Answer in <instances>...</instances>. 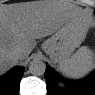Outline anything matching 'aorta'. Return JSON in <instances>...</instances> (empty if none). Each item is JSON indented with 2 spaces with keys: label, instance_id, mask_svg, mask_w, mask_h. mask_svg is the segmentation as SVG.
<instances>
[{
  "label": "aorta",
  "instance_id": "obj_1",
  "mask_svg": "<svg viewBox=\"0 0 95 95\" xmlns=\"http://www.w3.org/2000/svg\"><path fill=\"white\" fill-rule=\"evenodd\" d=\"M46 65L43 61L39 59H34L29 64V72L32 75L40 76L45 73Z\"/></svg>",
  "mask_w": 95,
  "mask_h": 95
}]
</instances>
